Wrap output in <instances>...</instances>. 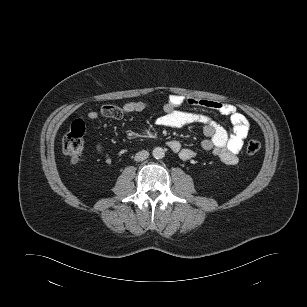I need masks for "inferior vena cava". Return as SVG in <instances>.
I'll use <instances>...</instances> for the list:
<instances>
[{
  "mask_svg": "<svg viewBox=\"0 0 307 307\" xmlns=\"http://www.w3.org/2000/svg\"><path fill=\"white\" fill-rule=\"evenodd\" d=\"M148 156H149V152L146 151V150H142V151H139L138 153H136L134 160L137 161V162H140V161L147 159Z\"/></svg>",
  "mask_w": 307,
  "mask_h": 307,
  "instance_id": "obj_1",
  "label": "inferior vena cava"
}]
</instances>
